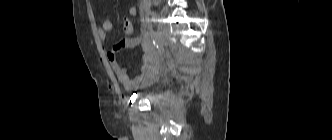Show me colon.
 <instances>
[{
  "mask_svg": "<svg viewBox=\"0 0 332 140\" xmlns=\"http://www.w3.org/2000/svg\"><path fill=\"white\" fill-rule=\"evenodd\" d=\"M123 32L125 36H132L134 33L133 23L127 18L123 20Z\"/></svg>",
  "mask_w": 332,
  "mask_h": 140,
  "instance_id": "1",
  "label": "colon"
}]
</instances>
